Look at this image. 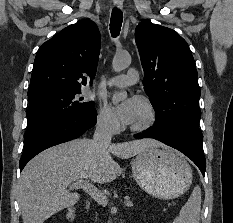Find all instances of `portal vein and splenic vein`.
I'll return each instance as SVG.
<instances>
[{"instance_id": "1", "label": "portal vein and splenic vein", "mask_w": 233, "mask_h": 223, "mask_svg": "<svg viewBox=\"0 0 233 223\" xmlns=\"http://www.w3.org/2000/svg\"><path fill=\"white\" fill-rule=\"evenodd\" d=\"M72 187L78 189V187H82V189H88L89 195L97 201V203H101V205H106L108 203V197L99 189H94V185L90 183L89 179H76L75 183H72ZM126 206H132V201H126Z\"/></svg>"}]
</instances>
